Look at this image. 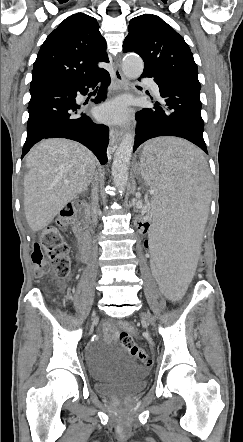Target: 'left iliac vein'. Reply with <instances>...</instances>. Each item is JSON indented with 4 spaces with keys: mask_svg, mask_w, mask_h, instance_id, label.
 Returning <instances> with one entry per match:
<instances>
[{
    "mask_svg": "<svg viewBox=\"0 0 243 442\" xmlns=\"http://www.w3.org/2000/svg\"><path fill=\"white\" fill-rule=\"evenodd\" d=\"M141 318L143 320H145L148 324H150L151 326H154V322L153 319L151 318L150 314L146 313V312H142L141 313Z\"/></svg>",
    "mask_w": 243,
    "mask_h": 442,
    "instance_id": "left-iliac-vein-1",
    "label": "left iliac vein"
}]
</instances>
